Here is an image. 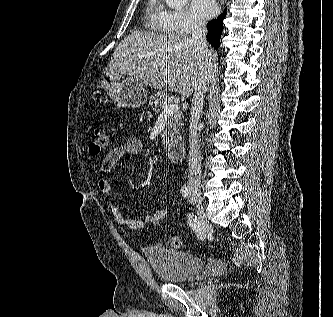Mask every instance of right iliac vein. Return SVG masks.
I'll return each instance as SVG.
<instances>
[{"label":"right iliac vein","mask_w":333,"mask_h":317,"mask_svg":"<svg viewBox=\"0 0 333 317\" xmlns=\"http://www.w3.org/2000/svg\"><path fill=\"white\" fill-rule=\"evenodd\" d=\"M190 196L192 197L194 203L197 205V208H198L200 227L203 230V232L206 233L210 230V225H209V222H208V220L205 217V214L203 212L202 202H201V198L199 196V193L197 191H192Z\"/></svg>","instance_id":"right-iliac-vein-1"}]
</instances>
